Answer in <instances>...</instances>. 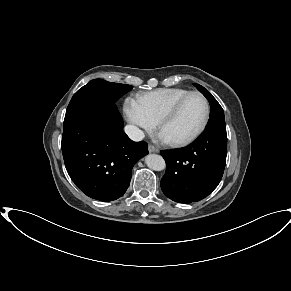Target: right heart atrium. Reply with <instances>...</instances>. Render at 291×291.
<instances>
[{
    "label": "right heart atrium",
    "instance_id": "obj_1",
    "mask_svg": "<svg viewBox=\"0 0 291 291\" xmlns=\"http://www.w3.org/2000/svg\"><path fill=\"white\" fill-rule=\"evenodd\" d=\"M124 113L137 136L142 135L144 131H152L156 126V123L146 114L138 100L127 98L124 103Z\"/></svg>",
    "mask_w": 291,
    "mask_h": 291
}]
</instances>
